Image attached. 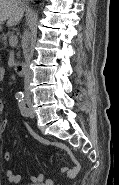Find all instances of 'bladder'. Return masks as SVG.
Wrapping results in <instances>:
<instances>
[{
	"mask_svg": "<svg viewBox=\"0 0 119 185\" xmlns=\"http://www.w3.org/2000/svg\"><path fill=\"white\" fill-rule=\"evenodd\" d=\"M27 185H38V184H27Z\"/></svg>",
	"mask_w": 119,
	"mask_h": 185,
	"instance_id": "bladder-1",
	"label": "bladder"
}]
</instances>
